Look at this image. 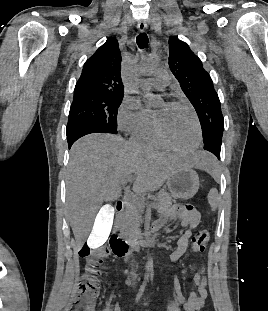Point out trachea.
Masks as SVG:
<instances>
[{
	"mask_svg": "<svg viewBox=\"0 0 268 311\" xmlns=\"http://www.w3.org/2000/svg\"><path fill=\"white\" fill-rule=\"evenodd\" d=\"M136 42L140 49H144L148 45V36L146 33H140L136 38Z\"/></svg>",
	"mask_w": 268,
	"mask_h": 311,
	"instance_id": "trachea-1",
	"label": "trachea"
}]
</instances>
